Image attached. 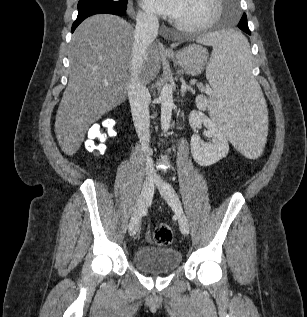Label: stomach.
I'll use <instances>...</instances> for the list:
<instances>
[{
	"instance_id": "stomach-1",
	"label": "stomach",
	"mask_w": 307,
	"mask_h": 317,
	"mask_svg": "<svg viewBox=\"0 0 307 317\" xmlns=\"http://www.w3.org/2000/svg\"><path fill=\"white\" fill-rule=\"evenodd\" d=\"M168 57L181 67L186 74L197 76L202 73L207 63L208 52L200 45H189Z\"/></svg>"
}]
</instances>
